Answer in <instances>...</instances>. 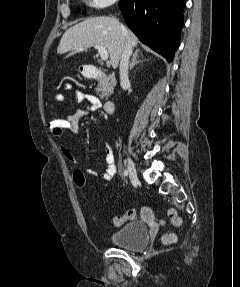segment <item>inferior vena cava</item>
Wrapping results in <instances>:
<instances>
[{
    "mask_svg": "<svg viewBox=\"0 0 240 287\" xmlns=\"http://www.w3.org/2000/svg\"><path fill=\"white\" fill-rule=\"evenodd\" d=\"M122 31L126 33V29L122 26ZM132 53V43L128 37H126V44L124 46L123 52L121 54L120 59V85L122 89L126 90L127 87L130 85L129 77H128V65H129V58Z\"/></svg>",
    "mask_w": 240,
    "mask_h": 287,
    "instance_id": "1",
    "label": "inferior vena cava"
}]
</instances>
